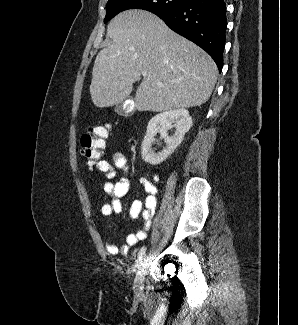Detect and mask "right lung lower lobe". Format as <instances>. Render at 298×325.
<instances>
[{
  "label": "right lung lower lobe",
  "mask_w": 298,
  "mask_h": 325,
  "mask_svg": "<svg viewBox=\"0 0 298 325\" xmlns=\"http://www.w3.org/2000/svg\"><path fill=\"white\" fill-rule=\"evenodd\" d=\"M155 14L170 29L205 50L222 70L227 25L224 0H189L180 8Z\"/></svg>",
  "instance_id": "obj_1"
}]
</instances>
